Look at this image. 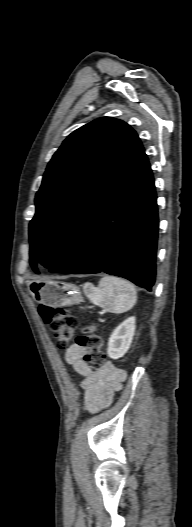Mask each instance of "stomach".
<instances>
[{"label":"stomach","instance_id":"1","mask_svg":"<svg viewBox=\"0 0 192 527\" xmlns=\"http://www.w3.org/2000/svg\"><path fill=\"white\" fill-rule=\"evenodd\" d=\"M28 288L37 302L52 307L71 306L83 301L79 288L70 283L36 280L28 282Z\"/></svg>","mask_w":192,"mask_h":527}]
</instances>
